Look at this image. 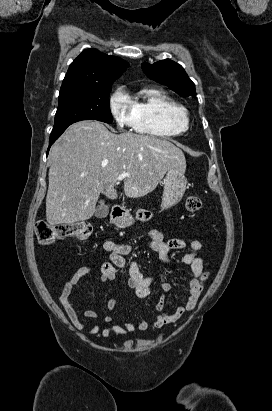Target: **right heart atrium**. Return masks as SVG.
Wrapping results in <instances>:
<instances>
[{"mask_svg": "<svg viewBox=\"0 0 272 411\" xmlns=\"http://www.w3.org/2000/svg\"><path fill=\"white\" fill-rule=\"evenodd\" d=\"M109 111L119 128L133 125V108L127 93L122 87L117 88L110 97Z\"/></svg>", "mask_w": 272, "mask_h": 411, "instance_id": "obj_1", "label": "right heart atrium"}]
</instances>
